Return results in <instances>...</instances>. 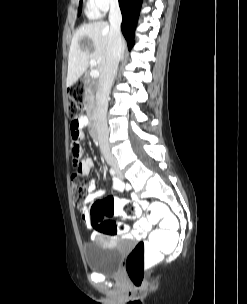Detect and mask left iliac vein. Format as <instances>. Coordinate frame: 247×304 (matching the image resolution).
I'll use <instances>...</instances> for the list:
<instances>
[{
  "label": "left iliac vein",
  "instance_id": "left-iliac-vein-1",
  "mask_svg": "<svg viewBox=\"0 0 247 304\" xmlns=\"http://www.w3.org/2000/svg\"><path fill=\"white\" fill-rule=\"evenodd\" d=\"M116 175H117V178L120 180L123 178L122 173L118 169H116Z\"/></svg>",
  "mask_w": 247,
  "mask_h": 304
}]
</instances>
